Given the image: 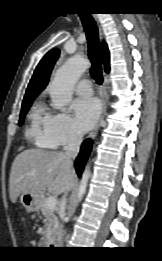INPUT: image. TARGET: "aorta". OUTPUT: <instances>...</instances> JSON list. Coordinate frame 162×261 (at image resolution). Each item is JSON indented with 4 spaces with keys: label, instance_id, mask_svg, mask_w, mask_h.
I'll return each instance as SVG.
<instances>
[{
    "label": "aorta",
    "instance_id": "obj_1",
    "mask_svg": "<svg viewBox=\"0 0 162 261\" xmlns=\"http://www.w3.org/2000/svg\"><path fill=\"white\" fill-rule=\"evenodd\" d=\"M90 63L87 59L76 55L71 57L55 73L54 79L49 86L52 105L56 109H62L72 100L73 87L80 76L88 69ZM90 167L87 165L78 189L77 198L81 201L86 192Z\"/></svg>",
    "mask_w": 162,
    "mask_h": 261
}]
</instances>
